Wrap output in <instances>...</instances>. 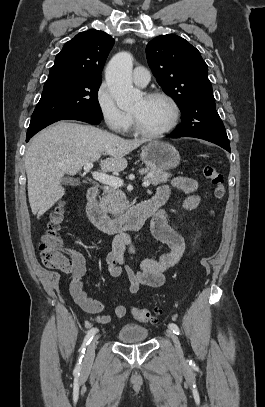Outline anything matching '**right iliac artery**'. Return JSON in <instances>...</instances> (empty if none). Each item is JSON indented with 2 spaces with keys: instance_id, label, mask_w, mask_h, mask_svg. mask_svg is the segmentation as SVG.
Returning a JSON list of instances; mask_svg holds the SVG:
<instances>
[{
  "instance_id": "1",
  "label": "right iliac artery",
  "mask_w": 265,
  "mask_h": 407,
  "mask_svg": "<svg viewBox=\"0 0 265 407\" xmlns=\"http://www.w3.org/2000/svg\"><path fill=\"white\" fill-rule=\"evenodd\" d=\"M96 332H97V328H92L88 331L87 335L85 336L82 346L79 350V352H80L79 362L77 363V365L75 367V372H78L80 370V364H81L82 358L84 357L86 346L91 342V340L93 339V336L96 334Z\"/></svg>"
}]
</instances>
